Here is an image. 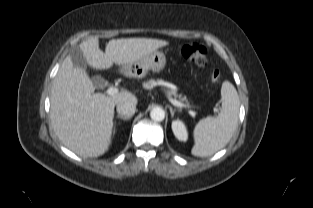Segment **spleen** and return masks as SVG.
<instances>
[{
	"label": "spleen",
	"mask_w": 313,
	"mask_h": 208,
	"mask_svg": "<svg viewBox=\"0 0 313 208\" xmlns=\"http://www.w3.org/2000/svg\"><path fill=\"white\" fill-rule=\"evenodd\" d=\"M222 107L217 117L201 119L194 128L195 144L192 155L211 156L230 141L238 126L240 101L232 83L224 81L221 87Z\"/></svg>",
	"instance_id": "spleen-1"
}]
</instances>
